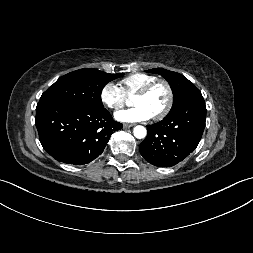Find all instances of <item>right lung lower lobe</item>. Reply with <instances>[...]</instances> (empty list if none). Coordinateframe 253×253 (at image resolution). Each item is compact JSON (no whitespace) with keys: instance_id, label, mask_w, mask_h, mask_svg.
<instances>
[{"instance_id":"right-lung-lower-lobe-1","label":"right lung lower lobe","mask_w":253,"mask_h":253,"mask_svg":"<svg viewBox=\"0 0 253 253\" xmlns=\"http://www.w3.org/2000/svg\"><path fill=\"white\" fill-rule=\"evenodd\" d=\"M35 124L45 151L57 161L82 165L97 158L113 132L122 128L105 109L40 101Z\"/></svg>"}]
</instances>
